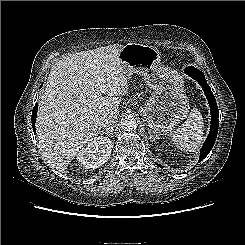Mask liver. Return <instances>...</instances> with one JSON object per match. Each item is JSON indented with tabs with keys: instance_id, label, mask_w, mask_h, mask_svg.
Wrapping results in <instances>:
<instances>
[{
	"instance_id": "1",
	"label": "liver",
	"mask_w": 245,
	"mask_h": 245,
	"mask_svg": "<svg viewBox=\"0 0 245 245\" xmlns=\"http://www.w3.org/2000/svg\"><path fill=\"white\" fill-rule=\"evenodd\" d=\"M113 44L63 57L51 69L37 115L39 148L62 174L94 136L105 116H118L120 96L128 90L119 52ZM105 95V96H103Z\"/></svg>"
}]
</instances>
